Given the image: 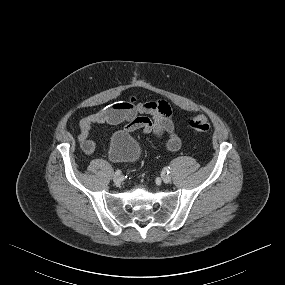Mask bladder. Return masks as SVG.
I'll use <instances>...</instances> for the list:
<instances>
[{
	"mask_svg": "<svg viewBox=\"0 0 285 285\" xmlns=\"http://www.w3.org/2000/svg\"><path fill=\"white\" fill-rule=\"evenodd\" d=\"M109 157L118 162L133 163L142 155L140 143L127 132H116L108 146Z\"/></svg>",
	"mask_w": 285,
	"mask_h": 285,
	"instance_id": "obj_1",
	"label": "bladder"
}]
</instances>
